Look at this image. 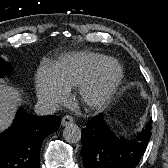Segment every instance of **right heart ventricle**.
<instances>
[{
  "label": "right heart ventricle",
  "mask_w": 168,
  "mask_h": 168,
  "mask_svg": "<svg viewBox=\"0 0 168 168\" xmlns=\"http://www.w3.org/2000/svg\"><path fill=\"white\" fill-rule=\"evenodd\" d=\"M108 57L82 51L65 55L51 70L57 82L66 90L79 87Z\"/></svg>",
  "instance_id": "right-heart-ventricle-1"
}]
</instances>
